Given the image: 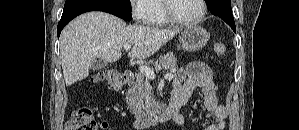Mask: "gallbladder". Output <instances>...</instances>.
<instances>
[{
	"label": "gallbladder",
	"instance_id": "bac80fb5",
	"mask_svg": "<svg viewBox=\"0 0 299 130\" xmlns=\"http://www.w3.org/2000/svg\"><path fill=\"white\" fill-rule=\"evenodd\" d=\"M107 65H108L107 62H105V61H103L101 59H96L90 65V69L95 71V70L103 69Z\"/></svg>",
	"mask_w": 299,
	"mask_h": 130
}]
</instances>
